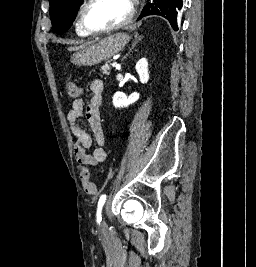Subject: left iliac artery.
Returning a JSON list of instances; mask_svg holds the SVG:
<instances>
[{
	"instance_id": "1",
	"label": "left iliac artery",
	"mask_w": 256,
	"mask_h": 267,
	"mask_svg": "<svg viewBox=\"0 0 256 267\" xmlns=\"http://www.w3.org/2000/svg\"><path fill=\"white\" fill-rule=\"evenodd\" d=\"M106 201V195H101L100 199H99V202H98V209H97V223H100L101 220H102V217H101V210H102V207L104 205Z\"/></svg>"
}]
</instances>
